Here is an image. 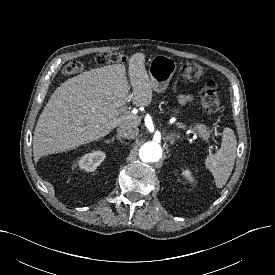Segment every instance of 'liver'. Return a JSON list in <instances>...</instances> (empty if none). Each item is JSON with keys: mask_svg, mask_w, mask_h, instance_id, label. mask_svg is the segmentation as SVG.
I'll list each match as a JSON object with an SVG mask.
<instances>
[{"mask_svg": "<svg viewBox=\"0 0 275 275\" xmlns=\"http://www.w3.org/2000/svg\"><path fill=\"white\" fill-rule=\"evenodd\" d=\"M128 74L132 93L123 64L92 69L62 83L37 121L33 136L35 161L97 141L121 125L137 127L141 118L123 107L130 98L137 107L152 102L153 86L143 53L129 58Z\"/></svg>", "mask_w": 275, "mask_h": 275, "instance_id": "1", "label": "liver"}]
</instances>
